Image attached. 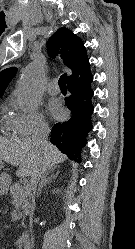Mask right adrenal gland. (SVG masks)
<instances>
[{
  "label": "right adrenal gland",
  "mask_w": 135,
  "mask_h": 249,
  "mask_svg": "<svg viewBox=\"0 0 135 249\" xmlns=\"http://www.w3.org/2000/svg\"><path fill=\"white\" fill-rule=\"evenodd\" d=\"M50 172H45L42 177H41V181L39 183V188H38V192H37V195L40 196L41 194V191H42V188L44 186H46L49 182H51L52 179H54L59 172H57L56 174H51L50 176L49 175Z\"/></svg>",
  "instance_id": "right-adrenal-gland-1"
}]
</instances>
